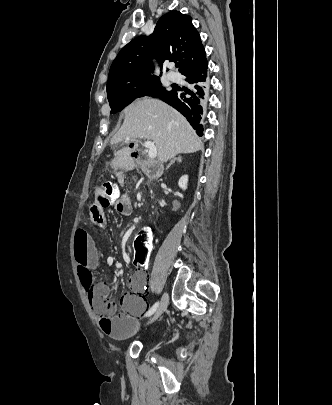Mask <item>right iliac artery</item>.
Listing matches in <instances>:
<instances>
[{
    "label": "right iliac artery",
    "instance_id": "82829eb1",
    "mask_svg": "<svg viewBox=\"0 0 332 405\" xmlns=\"http://www.w3.org/2000/svg\"><path fill=\"white\" fill-rule=\"evenodd\" d=\"M159 306V302H156L146 313H145V317L151 316L158 308Z\"/></svg>",
    "mask_w": 332,
    "mask_h": 405
}]
</instances>
